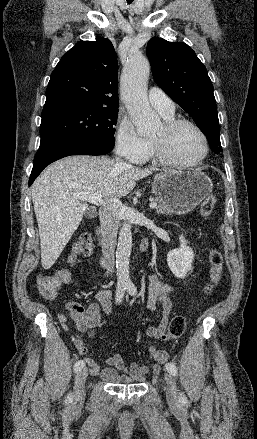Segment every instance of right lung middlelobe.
Segmentation results:
<instances>
[{
  "mask_svg": "<svg viewBox=\"0 0 257 439\" xmlns=\"http://www.w3.org/2000/svg\"><path fill=\"white\" fill-rule=\"evenodd\" d=\"M118 107L81 108L42 118L40 145L77 138L100 141L114 146Z\"/></svg>",
  "mask_w": 257,
  "mask_h": 439,
  "instance_id": "dd1d6c3e",
  "label": "right lung middle lobe"
}]
</instances>
